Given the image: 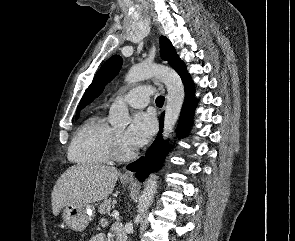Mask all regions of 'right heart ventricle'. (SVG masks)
Returning a JSON list of instances; mask_svg holds the SVG:
<instances>
[{"instance_id": "e07e8e85", "label": "right heart ventricle", "mask_w": 295, "mask_h": 241, "mask_svg": "<svg viewBox=\"0 0 295 241\" xmlns=\"http://www.w3.org/2000/svg\"><path fill=\"white\" fill-rule=\"evenodd\" d=\"M113 129L100 114L87 119L75 133L68 150L69 159L80 165H102L110 160Z\"/></svg>"}]
</instances>
